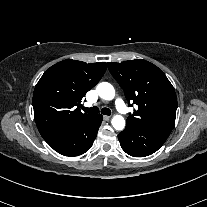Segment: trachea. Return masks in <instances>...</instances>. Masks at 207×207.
Listing matches in <instances>:
<instances>
[{"label": "trachea", "instance_id": "1", "mask_svg": "<svg viewBox=\"0 0 207 207\" xmlns=\"http://www.w3.org/2000/svg\"><path fill=\"white\" fill-rule=\"evenodd\" d=\"M82 109L85 112L89 113V114H97V113H99V108L96 107V106L91 107V108L82 107ZM101 113L104 114V115H110L111 114V111L108 108H102L101 109Z\"/></svg>", "mask_w": 207, "mask_h": 207}]
</instances>
